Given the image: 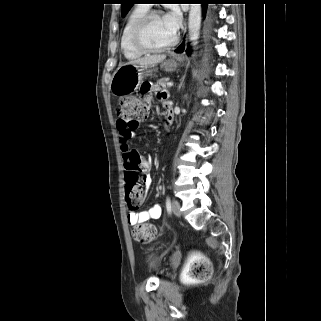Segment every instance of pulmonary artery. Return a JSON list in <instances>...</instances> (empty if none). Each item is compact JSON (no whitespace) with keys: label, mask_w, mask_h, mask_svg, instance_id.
<instances>
[{"label":"pulmonary artery","mask_w":321,"mask_h":321,"mask_svg":"<svg viewBox=\"0 0 321 321\" xmlns=\"http://www.w3.org/2000/svg\"><path fill=\"white\" fill-rule=\"evenodd\" d=\"M145 7H149V5H144Z\"/></svg>","instance_id":"obj_1"}]
</instances>
